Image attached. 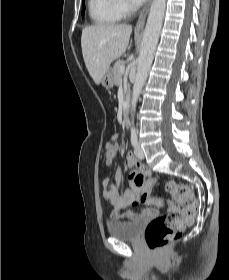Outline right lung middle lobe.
Segmentation results:
<instances>
[{"label":"right lung middle lobe","mask_w":229,"mask_h":280,"mask_svg":"<svg viewBox=\"0 0 229 280\" xmlns=\"http://www.w3.org/2000/svg\"><path fill=\"white\" fill-rule=\"evenodd\" d=\"M84 1H85V0H83V11H82V15H84V11H85Z\"/></svg>","instance_id":"obj_1"}]
</instances>
